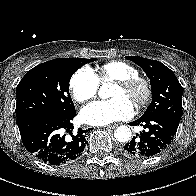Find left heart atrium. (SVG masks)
I'll use <instances>...</instances> for the list:
<instances>
[{
  "instance_id": "1",
  "label": "left heart atrium",
  "mask_w": 196,
  "mask_h": 196,
  "mask_svg": "<svg viewBox=\"0 0 196 196\" xmlns=\"http://www.w3.org/2000/svg\"><path fill=\"white\" fill-rule=\"evenodd\" d=\"M134 113L132 103L124 97L95 101L85 106L80 113L83 122L103 126L130 118Z\"/></svg>"
}]
</instances>
